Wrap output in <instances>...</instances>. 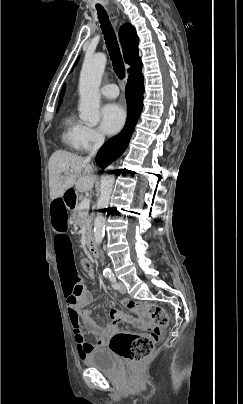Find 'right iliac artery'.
Wrapping results in <instances>:
<instances>
[{
	"instance_id": "1",
	"label": "right iliac artery",
	"mask_w": 243,
	"mask_h": 404,
	"mask_svg": "<svg viewBox=\"0 0 243 404\" xmlns=\"http://www.w3.org/2000/svg\"><path fill=\"white\" fill-rule=\"evenodd\" d=\"M103 275H104L105 277H109L110 273L107 272V271H104V272H103Z\"/></svg>"
}]
</instances>
